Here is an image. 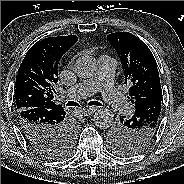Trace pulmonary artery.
I'll return each mask as SVG.
<instances>
[{"mask_svg": "<svg viewBox=\"0 0 184 184\" xmlns=\"http://www.w3.org/2000/svg\"><path fill=\"white\" fill-rule=\"evenodd\" d=\"M116 68V61L110 56L99 58V69L96 74L83 80L68 90L70 97L79 99L92 95L96 91L102 92L103 98L110 105L111 109L119 114H127L132 111L129 101L118 92L113 84V74Z\"/></svg>", "mask_w": 184, "mask_h": 184, "instance_id": "1", "label": "pulmonary artery"}]
</instances>
